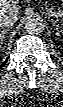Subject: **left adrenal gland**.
Returning <instances> with one entry per match:
<instances>
[{
    "instance_id": "1",
    "label": "left adrenal gland",
    "mask_w": 63,
    "mask_h": 107,
    "mask_svg": "<svg viewBox=\"0 0 63 107\" xmlns=\"http://www.w3.org/2000/svg\"><path fill=\"white\" fill-rule=\"evenodd\" d=\"M52 23H53V25L56 26V30L58 31L57 35L60 36V34L62 33V31L60 30V28H61L60 25L53 19H52Z\"/></svg>"
}]
</instances>
